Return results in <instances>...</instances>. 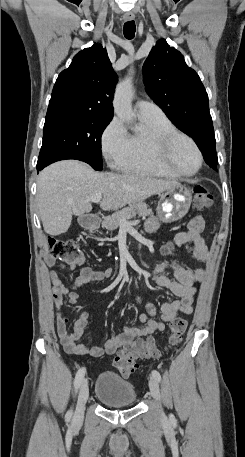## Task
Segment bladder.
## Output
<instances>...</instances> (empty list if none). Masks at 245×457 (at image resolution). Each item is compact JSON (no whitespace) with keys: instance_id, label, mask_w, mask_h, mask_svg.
<instances>
[{"instance_id":"1","label":"bladder","mask_w":245,"mask_h":457,"mask_svg":"<svg viewBox=\"0 0 245 457\" xmlns=\"http://www.w3.org/2000/svg\"><path fill=\"white\" fill-rule=\"evenodd\" d=\"M96 397L106 406H130L136 402L134 386L110 373L100 375Z\"/></svg>"}]
</instances>
